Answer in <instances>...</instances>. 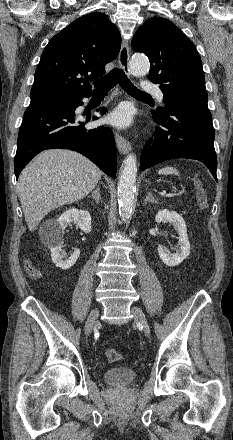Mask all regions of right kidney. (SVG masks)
I'll list each match as a JSON object with an SVG mask.
<instances>
[{
  "label": "right kidney",
  "mask_w": 233,
  "mask_h": 440,
  "mask_svg": "<svg viewBox=\"0 0 233 440\" xmlns=\"http://www.w3.org/2000/svg\"><path fill=\"white\" fill-rule=\"evenodd\" d=\"M72 222L83 232H91L89 212L75 208L65 211L57 220L46 221L42 229V242L50 249L53 263L62 270L71 268L80 256L79 249H75L70 256L62 254L64 230Z\"/></svg>",
  "instance_id": "1"
}]
</instances>
